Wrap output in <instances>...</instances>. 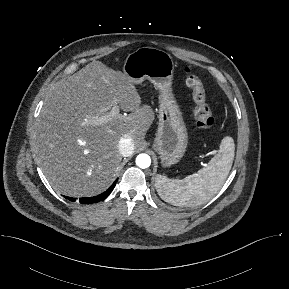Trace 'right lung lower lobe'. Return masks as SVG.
Instances as JSON below:
<instances>
[{
    "instance_id": "98d812e1",
    "label": "right lung lower lobe",
    "mask_w": 289,
    "mask_h": 289,
    "mask_svg": "<svg viewBox=\"0 0 289 289\" xmlns=\"http://www.w3.org/2000/svg\"><path fill=\"white\" fill-rule=\"evenodd\" d=\"M117 181V180H116ZM116 181H114V183L103 193H101L100 195L94 196V197H83L80 198V203L82 204H91V203H96L99 201H102L103 199H105L114 189ZM66 199H69L71 201H75L76 198H71V197H65Z\"/></svg>"
}]
</instances>
